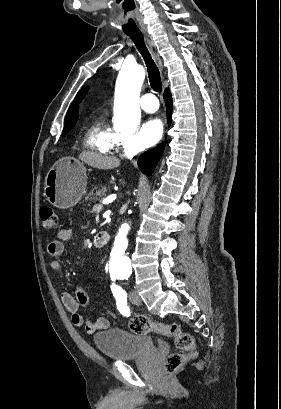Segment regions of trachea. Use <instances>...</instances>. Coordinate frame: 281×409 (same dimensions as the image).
<instances>
[{
	"label": "trachea",
	"mask_w": 281,
	"mask_h": 409,
	"mask_svg": "<svg viewBox=\"0 0 281 409\" xmlns=\"http://www.w3.org/2000/svg\"><path fill=\"white\" fill-rule=\"evenodd\" d=\"M126 33V32H125ZM126 35H128V37L131 38V40L134 42L136 48L138 49V51L141 53L147 70H148V78H149V82L150 85L152 87V89L155 92H161L163 85L161 82V77H160V73H159V69L156 65V63L154 62V60L152 59V56L148 50V48L146 47L145 41H144V37L142 35V33L140 31L138 32H130V33H126Z\"/></svg>",
	"instance_id": "1"
}]
</instances>
